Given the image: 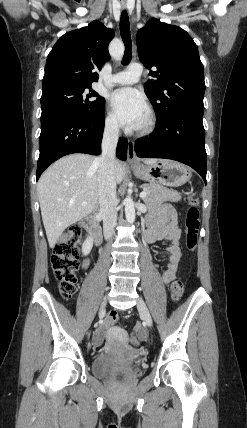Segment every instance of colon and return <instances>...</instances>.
<instances>
[{
	"label": "colon",
	"mask_w": 247,
	"mask_h": 428,
	"mask_svg": "<svg viewBox=\"0 0 247 428\" xmlns=\"http://www.w3.org/2000/svg\"><path fill=\"white\" fill-rule=\"evenodd\" d=\"M189 207L185 217V246L188 251H193L197 245V237L200 226L199 218V200L194 194L188 198ZM84 235L80 226L71 227L67 237L62 239L55 247L51 256V265L54 275L58 281V287L61 295L65 299H70L76 290L78 280V252L79 246L84 241ZM184 283L180 279L172 282L170 287L171 298L173 301H179L184 293ZM118 315L114 312L107 316V323L116 322ZM140 335L141 330L137 329ZM134 344L136 340L132 341Z\"/></svg>",
	"instance_id": "5ec220e1"
}]
</instances>
